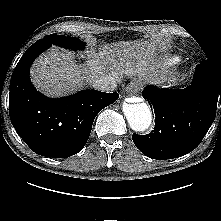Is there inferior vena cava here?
Listing matches in <instances>:
<instances>
[{
  "instance_id": "inferior-vena-cava-1",
  "label": "inferior vena cava",
  "mask_w": 221,
  "mask_h": 221,
  "mask_svg": "<svg viewBox=\"0 0 221 221\" xmlns=\"http://www.w3.org/2000/svg\"><path fill=\"white\" fill-rule=\"evenodd\" d=\"M91 86L99 91L110 92L115 90L117 82L113 77L100 76L91 80Z\"/></svg>"
}]
</instances>
